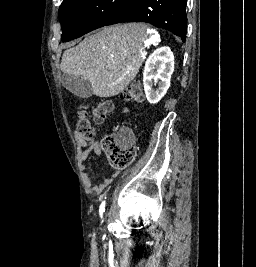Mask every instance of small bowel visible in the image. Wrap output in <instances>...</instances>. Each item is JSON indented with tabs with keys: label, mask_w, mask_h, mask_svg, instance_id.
Returning <instances> with one entry per match:
<instances>
[{
	"label": "small bowel",
	"mask_w": 256,
	"mask_h": 267,
	"mask_svg": "<svg viewBox=\"0 0 256 267\" xmlns=\"http://www.w3.org/2000/svg\"><path fill=\"white\" fill-rule=\"evenodd\" d=\"M76 141L78 146L81 148L78 160L80 170L82 172L83 182L86 187L94 193H102L113 182L117 174L112 173L103 181L96 184L94 178L85 172V161L89 158V156L92 153L100 156L102 152V141L94 140L91 137H84L79 133L76 134Z\"/></svg>",
	"instance_id": "obj_1"
}]
</instances>
